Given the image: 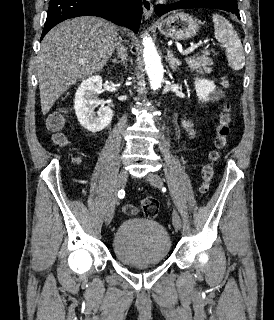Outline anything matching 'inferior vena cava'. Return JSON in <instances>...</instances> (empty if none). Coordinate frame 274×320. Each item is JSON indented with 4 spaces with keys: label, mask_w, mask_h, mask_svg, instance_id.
I'll list each match as a JSON object with an SVG mask.
<instances>
[{
    "label": "inferior vena cava",
    "mask_w": 274,
    "mask_h": 320,
    "mask_svg": "<svg viewBox=\"0 0 274 320\" xmlns=\"http://www.w3.org/2000/svg\"><path fill=\"white\" fill-rule=\"evenodd\" d=\"M116 46H117V50L121 56V60H122V62H124V60H126V56H125V54H123L125 48H123V46H121L120 42H117Z\"/></svg>",
    "instance_id": "602c4592"
}]
</instances>
